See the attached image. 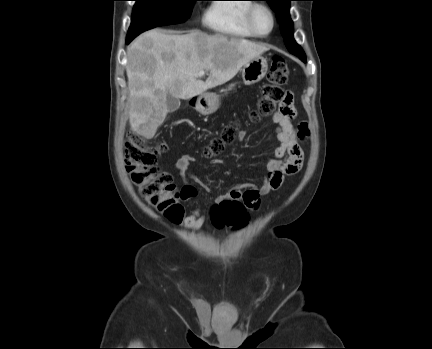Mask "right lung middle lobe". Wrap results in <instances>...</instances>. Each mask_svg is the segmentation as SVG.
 I'll return each instance as SVG.
<instances>
[{
  "mask_svg": "<svg viewBox=\"0 0 432 349\" xmlns=\"http://www.w3.org/2000/svg\"><path fill=\"white\" fill-rule=\"evenodd\" d=\"M127 39L130 41L141 32L169 24L186 21L198 0H135Z\"/></svg>",
  "mask_w": 432,
  "mask_h": 349,
  "instance_id": "obj_1",
  "label": "right lung middle lobe"
}]
</instances>
